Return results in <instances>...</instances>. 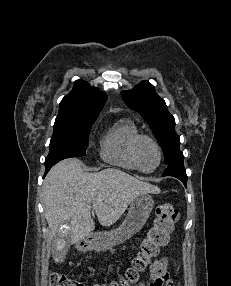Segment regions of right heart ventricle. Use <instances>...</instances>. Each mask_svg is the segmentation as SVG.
Wrapping results in <instances>:
<instances>
[{"instance_id":"e07e8e85","label":"right heart ventricle","mask_w":231,"mask_h":286,"mask_svg":"<svg viewBox=\"0 0 231 286\" xmlns=\"http://www.w3.org/2000/svg\"><path fill=\"white\" fill-rule=\"evenodd\" d=\"M138 134L139 129L134 121L128 118L118 120L101 137V158L125 170H138L131 156V144Z\"/></svg>"}]
</instances>
